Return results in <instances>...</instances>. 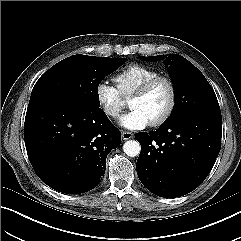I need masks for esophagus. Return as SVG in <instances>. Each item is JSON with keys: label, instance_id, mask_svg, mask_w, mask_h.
I'll return each instance as SVG.
<instances>
[{"label": "esophagus", "instance_id": "34e87169", "mask_svg": "<svg viewBox=\"0 0 241 241\" xmlns=\"http://www.w3.org/2000/svg\"><path fill=\"white\" fill-rule=\"evenodd\" d=\"M131 138H133V134L131 132L122 131V139L123 140H129Z\"/></svg>", "mask_w": 241, "mask_h": 241}]
</instances>
